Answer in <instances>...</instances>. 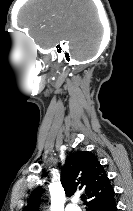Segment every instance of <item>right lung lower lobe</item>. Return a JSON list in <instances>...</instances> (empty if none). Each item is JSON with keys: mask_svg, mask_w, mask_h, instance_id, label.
I'll return each mask as SVG.
<instances>
[{"mask_svg": "<svg viewBox=\"0 0 133 211\" xmlns=\"http://www.w3.org/2000/svg\"><path fill=\"white\" fill-rule=\"evenodd\" d=\"M91 211H117L115 200L97 205Z\"/></svg>", "mask_w": 133, "mask_h": 211, "instance_id": "1", "label": "right lung lower lobe"}]
</instances>
